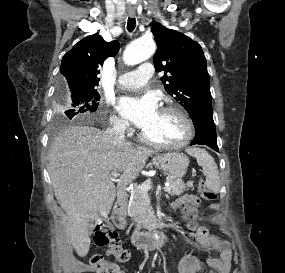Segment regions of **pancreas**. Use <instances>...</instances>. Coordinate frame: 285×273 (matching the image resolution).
Segmentation results:
<instances>
[{
	"label": "pancreas",
	"mask_w": 285,
	"mask_h": 273,
	"mask_svg": "<svg viewBox=\"0 0 285 273\" xmlns=\"http://www.w3.org/2000/svg\"><path fill=\"white\" fill-rule=\"evenodd\" d=\"M167 182L171 186V191L168 193L172 196L181 195L185 190L193 187V182L191 181L185 184L181 179H175L172 177H168ZM150 209V200L147 192L135 188L133 199L130 202L129 215L134 218L138 227L146 226V218Z\"/></svg>",
	"instance_id": "1"
}]
</instances>
